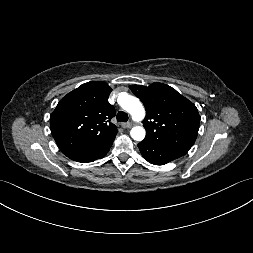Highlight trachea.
<instances>
[{"label": "trachea", "instance_id": "3493384b", "mask_svg": "<svg viewBox=\"0 0 253 253\" xmlns=\"http://www.w3.org/2000/svg\"><path fill=\"white\" fill-rule=\"evenodd\" d=\"M117 121L118 122H127L128 121V115L124 111H119L117 114Z\"/></svg>", "mask_w": 253, "mask_h": 253}]
</instances>
